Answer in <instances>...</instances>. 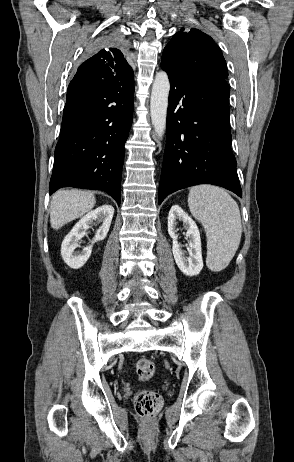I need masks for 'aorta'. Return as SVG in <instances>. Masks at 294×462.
Masks as SVG:
<instances>
[{
	"label": "aorta",
	"mask_w": 294,
	"mask_h": 462,
	"mask_svg": "<svg viewBox=\"0 0 294 462\" xmlns=\"http://www.w3.org/2000/svg\"><path fill=\"white\" fill-rule=\"evenodd\" d=\"M170 82L164 71L156 74L150 99L151 121L158 138H162L166 129L168 96Z\"/></svg>",
	"instance_id": "1"
}]
</instances>
